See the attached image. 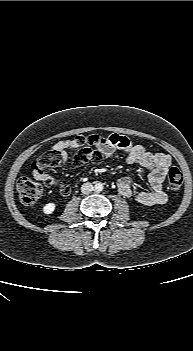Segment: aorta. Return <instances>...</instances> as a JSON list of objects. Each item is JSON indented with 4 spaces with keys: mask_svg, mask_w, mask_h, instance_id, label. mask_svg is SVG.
I'll return each mask as SVG.
<instances>
[{
    "mask_svg": "<svg viewBox=\"0 0 193 351\" xmlns=\"http://www.w3.org/2000/svg\"><path fill=\"white\" fill-rule=\"evenodd\" d=\"M94 188L97 192H100L103 190V184L101 182H96Z\"/></svg>",
    "mask_w": 193,
    "mask_h": 351,
    "instance_id": "aorta-1",
    "label": "aorta"
}]
</instances>
